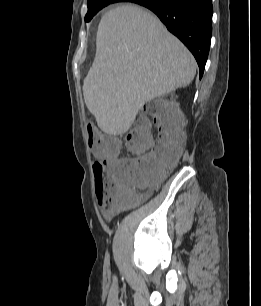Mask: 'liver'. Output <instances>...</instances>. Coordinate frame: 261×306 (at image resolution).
Listing matches in <instances>:
<instances>
[{
	"instance_id": "1",
	"label": "liver",
	"mask_w": 261,
	"mask_h": 306,
	"mask_svg": "<svg viewBox=\"0 0 261 306\" xmlns=\"http://www.w3.org/2000/svg\"><path fill=\"white\" fill-rule=\"evenodd\" d=\"M195 74L194 57L157 17L122 5L99 23L84 101L102 131L122 135L145 103L189 85Z\"/></svg>"
}]
</instances>
